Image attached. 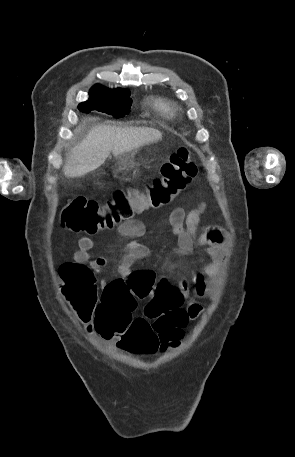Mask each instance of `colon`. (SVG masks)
I'll use <instances>...</instances> for the list:
<instances>
[{"label":"colon","mask_w":295,"mask_h":457,"mask_svg":"<svg viewBox=\"0 0 295 457\" xmlns=\"http://www.w3.org/2000/svg\"><path fill=\"white\" fill-rule=\"evenodd\" d=\"M196 173L197 166L189 150L180 147L144 190L116 189L105 202L74 197L62 211V224L72 232L87 234L113 228L136 214L169 204L189 186ZM60 277L62 292L78 316L91 320L95 331L104 339H117L127 356L159 355L167 347L179 349L188 315L175 299V290L166 278L138 269L125 281L118 279L107 284L99 300L94 274L87 265L65 263ZM149 295L153 299L145 308V317L133 318L135 296Z\"/></svg>","instance_id":"5ec220e1"}]
</instances>
